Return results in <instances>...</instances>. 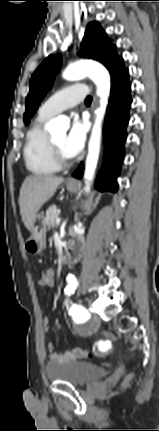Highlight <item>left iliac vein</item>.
I'll return each instance as SVG.
<instances>
[{"mask_svg": "<svg viewBox=\"0 0 159 431\" xmlns=\"http://www.w3.org/2000/svg\"><path fill=\"white\" fill-rule=\"evenodd\" d=\"M100 323V318L97 314H93L91 317V324L98 325Z\"/></svg>", "mask_w": 159, "mask_h": 431, "instance_id": "4c4485c4", "label": "left iliac vein"}]
</instances>
